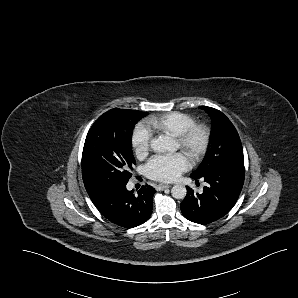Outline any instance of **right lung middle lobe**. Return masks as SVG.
Here are the masks:
<instances>
[{
	"label": "right lung middle lobe",
	"instance_id": "dd1d6c3e",
	"mask_svg": "<svg viewBox=\"0 0 298 298\" xmlns=\"http://www.w3.org/2000/svg\"><path fill=\"white\" fill-rule=\"evenodd\" d=\"M142 117L109 110L90 128L82 154V177L89 193L126 185L132 165V130Z\"/></svg>",
	"mask_w": 298,
	"mask_h": 298
}]
</instances>
